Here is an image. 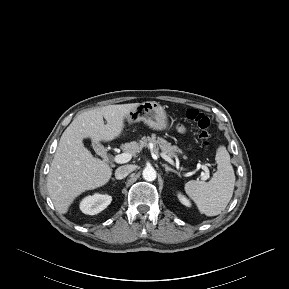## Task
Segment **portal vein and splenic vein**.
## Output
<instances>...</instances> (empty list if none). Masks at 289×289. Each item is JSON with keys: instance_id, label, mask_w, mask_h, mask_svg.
<instances>
[{"instance_id": "1", "label": "portal vein and splenic vein", "mask_w": 289, "mask_h": 289, "mask_svg": "<svg viewBox=\"0 0 289 289\" xmlns=\"http://www.w3.org/2000/svg\"><path fill=\"white\" fill-rule=\"evenodd\" d=\"M161 157L163 159H165L167 162H169L170 164L172 165H175L174 161L171 159V157H169L168 155L164 154V153H161ZM132 158V155L129 154V153H122V154H119V155H116L114 157V161L118 164H123V163H127L131 160ZM177 166V165H176ZM202 170L204 172H202V180H208L210 178V175H209V169L207 166L205 165H202L201 166Z\"/></svg>"}]
</instances>
